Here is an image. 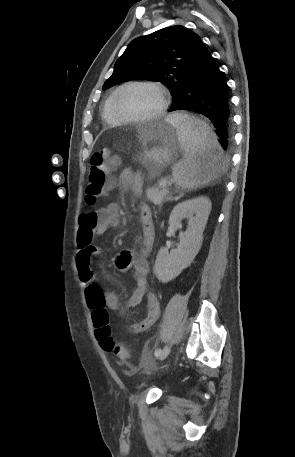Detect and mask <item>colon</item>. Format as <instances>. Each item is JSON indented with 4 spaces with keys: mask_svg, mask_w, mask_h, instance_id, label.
<instances>
[{
    "mask_svg": "<svg viewBox=\"0 0 295 457\" xmlns=\"http://www.w3.org/2000/svg\"><path fill=\"white\" fill-rule=\"evenodd\" d=\"M117 165V157L112 155L107 148H103L91 156L86 188V202L89 205L94 204L114 185L112 173ZM98 293L99 291L95 287L88 290L89 305L92 309V321L96 338L99 341V349L111 352L113 360H129L130 352L128 349L116 344L111 337L109 315L105 309V304L101 300L95 299Z\"/></svg>",
    "mask_w": 295,
    "mask_h": 457,
    "instance_id": "obj_1",
    "label": "colon"
}]
</instances>
